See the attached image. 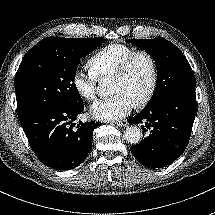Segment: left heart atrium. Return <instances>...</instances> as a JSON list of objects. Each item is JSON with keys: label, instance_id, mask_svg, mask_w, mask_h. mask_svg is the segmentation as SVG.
Masks as SVG:
<instances>
[{"label": "left heart atrium", "instance_id": "left-heart-atrium-1", "mask_svg": "<svg viewBox=\"0 0 215 215\" xmlns=\"http://www.w3.org/2000/svg\"><path fill=\"white\" fill-rule=\"evenodd\" d=\"M133 106L134 103L127 95L116 93L107 99L96 101L91 107V114L99 120L115 121L128 115Z\"/></svg>", "mask_w": 215, "mask_h": 215}]
</instances>
